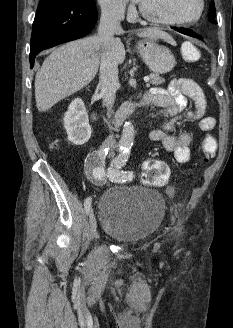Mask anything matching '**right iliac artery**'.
<instances>
[{
    "label": "right iliac artery",
    "mask_w": 233,
    "mask_h": 328,
    "mask_svg": "<svg viewBox=\"0 0 233 328\" xmlns=\"http://www.w3.org/2000/svg\"><path fill=\"white\" fill-rule=\"evenodd\" d=\"M126 147L119 146L118 151L122 152ZM109 152V148H101L100 150L90 153L85 160V170L88 179L95 185L101 186L105 181L104 162ZM92 199L86 198L84 207L86 213H89Z\"/></svg>",
    "instance_id": "1"
}]
</instances>
